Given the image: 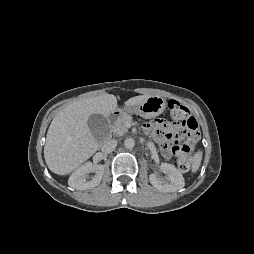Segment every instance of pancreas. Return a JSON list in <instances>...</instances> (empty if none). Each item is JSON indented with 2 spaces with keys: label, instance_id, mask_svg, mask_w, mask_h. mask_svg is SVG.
<instances>
[{
  "label": "pancreas",
  "instance_id": "1",
  "mask_svg": "<svg viewBox=\"0 0 254 254\" xmlns=\"http://www.w3.org/2000/svg\"><path fill=\"white\" fill-rule=\"evenodd\" d=\"M132 121V117L128 114H122L114 122L112 130L116 136H123L128 131V123Z\"/></svg>",
  "mask_w": 254,
  "mask_h": 254
}]
</instances>
